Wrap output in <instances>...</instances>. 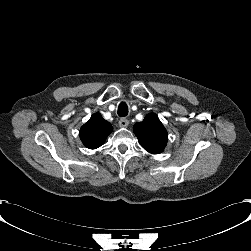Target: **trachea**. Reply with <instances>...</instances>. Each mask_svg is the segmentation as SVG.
Returning a JSON list of instances; mask_svg holds the SVG:
<instances>
[{"mask_svg":"<svg viewBox=\"0 0 251 251\" xmlns=\"http://www.w3.org/2000/svg\"><path fill=\"white\" fill-rule=\"evenodd\" d=\"M128 114V106L125 102H121L118 106V115L120 117L127 116Z\"/></svg>","mask_w":251,"mask_h":251,"instance_id":"3493384b","label":"trachea"}]
</instances>
